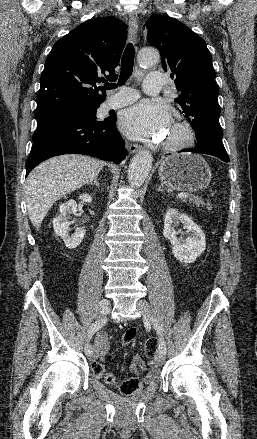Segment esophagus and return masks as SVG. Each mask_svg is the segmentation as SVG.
Returning a JSON list of instances; mask_svg holds the SVG:
<instances>
[{"instance_id": "34e87169", "label": "esophagus", "mask_w": 257, "mask_h": 439, "mask_svg": "<svg viewBox=\"0 0 257 439\" xmlns=\"http://www.w3.org/2000/svg\"><path fill=\"white\" fill-rule=\"evenodd\" d=\"M137 34H138V21L134 14L129 15V39L133 44L137 42ZM128 150L130 153H136L141 150V146L138 144H129Z\"/></svg>"}]
</instances>
